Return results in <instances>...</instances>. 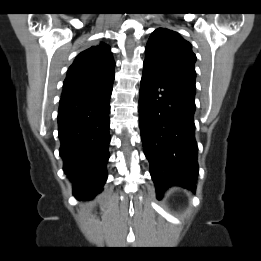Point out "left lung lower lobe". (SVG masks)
Instances as JSON below:
<instances>
[{"label":"left lung lower lobe","mask_w":261,"mask_h":261,"mask_svg":"<svg viewBox=\"0 0 261 261\" xmlns=\"http://www.w3.org/2000/svg\"><path fill=\"white\" fill-rule=\"evenodd\" d=\"M195 94L190 83L143 64L139 125L158 198L171 186L195 190Z\"/></svg>","instance_id":"left-lung-lower-lobe-1"}]
</instances>
